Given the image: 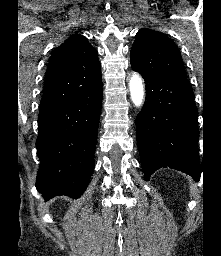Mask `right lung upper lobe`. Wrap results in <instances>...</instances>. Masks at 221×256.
I'll return each instance as SVG.
<instances>
[{"label":"right lung upper lobe","instance_id":"cb5924a9","mask_svg":"<svg viewBox=\"0 0 221 256\" xmlns=\"http://www.w3.org/2000/svg\"><path fill=\"white\" fill-rule=\"evenodd\" d=\"M102 87L101 64L87 38L75 34L52 53L40 111L68 103Z\"/></svg>","mask_w":221,"mask_h":256}]
</instances>
